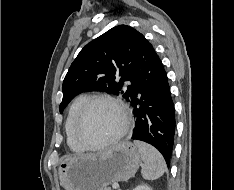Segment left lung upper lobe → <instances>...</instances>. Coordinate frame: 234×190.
<instances>
[{
	"label": "left lung upper lobe",
	"mask_w": 234,
	"mask_h": 190,
	"mask_svg": "<svg viewBox=\"0 0 234 190\" xmlns=\"http://www.w3.org/2000/svg\"><path fill=\"white\" fill-rule=\"evenodd\" d=\"M143 39L144 36L132 27L119 25L88 43L65 76L60 112L76 95L85 91L121 94L129 101ZM125 81L131 82L127 88Z\"/></svg>",
	"instance_id": "obj_1"
}]
</instances>
